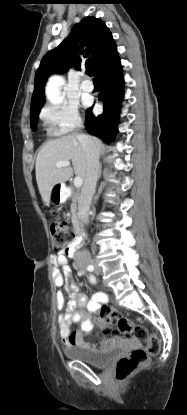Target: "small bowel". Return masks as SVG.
<instances>
[{
  "label": "small bowel",
  "mask_w": 187,
  "mask_h": 415,
  "mask_svg": "<svg viewBox=\"0 0 187 415\" xmlns=\"http://www.w3.org/2000/svg\"><path fill=\"white\" fill-rule=\"evenodd\" d=\"M53 264L61 267L62 272L55 270L53 273L56 286H65L68 292V302L65 306L63 293H57V307L65 308V312L58 317L59 335L62 342L69 347H83L90 351H98L109 347L117 340L104 339L100 343H87L85 335L93 329L91 315L94 314L100 303L106 302L104 293L98 292L91 299L79 291L76 282L71 277V269L68 265V253H59L52 257ZM80 323V329L71 331V324Z\"/></svg>",
  "instance_id": "small-bowel-1"
}]
</instances>
